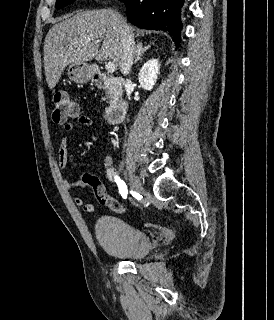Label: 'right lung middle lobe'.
Instances as JSON below:
<instances>
[{
  "label": "right lung middle lobe",
  "mask_w": 274,
  "mask_h": 320,
  "mask_svg": "<svg viewBox=\"0 0 274 320\" xmlns=\"http://www.w3.org/2000/svg\"><path fill=\"white\" fill-rule=\"evenodd\" d=\"M74 1L75 0H56V8L61 9Z\"/></svg>",
  "instance_id": "1"
}]
</instances>
